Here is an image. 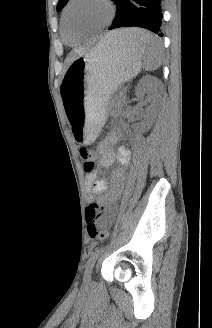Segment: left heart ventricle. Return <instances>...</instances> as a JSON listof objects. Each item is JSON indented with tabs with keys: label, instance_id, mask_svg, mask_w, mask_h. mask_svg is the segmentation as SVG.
<instances>
[{
	"label": "left heart ventricle",
	"instance_id": "left-heart-ventricle-1",
	"mask_svg": "<svg viewBox=\"0 0 212 328\" xmlns=\"http://www.w3.org/2000/svg\"><path fill=\"white\" fill-rule=\"evenodd\" d=\"M109 15L101 0H77L68 11L70 33L86 32L103 25Z\"/></svg>",
	"mask_w": 212,
	"mask_h": 328
}]
</instances>
